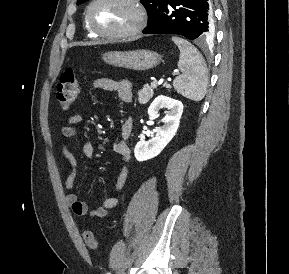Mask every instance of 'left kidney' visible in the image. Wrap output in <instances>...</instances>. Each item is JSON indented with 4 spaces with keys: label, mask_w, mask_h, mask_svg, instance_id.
Instances as JSON below:
<instances>
[{
    "label": "left kidney",
    "mask_w": 289,
    "mask_h": 274,
    "mask_svg": "<svg viewBox=\"0 0 289 274\" xmlns=\"http://www.w3.org/2000/svg\"><path fill=\"white\" fill-rule=\"evenodd\" d=\"M162 109L168 110L164 118L165 124L157 129L154 138L148 141H139L136 144L134 156L137 161H146L159 155L177 132L183 112L182 102L160 95L154 99L148 108L149 118L157 119Z\"/></svg>",
    "instance_id": "5707ae66"
}]
</instances>
